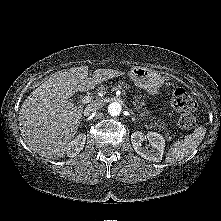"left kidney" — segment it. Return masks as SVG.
Listing matches in <instances>:
<instances>
[{
    "mask_svg": "<svg viewBox=\"0 0 221 221\" xmlns=\"http://www.w3.org/2000/svg\"><path fill=\"white\" fill-rule=\"evenodd\" d=\"M147 139L151 144V149L142 147V142ZM131 143L136 151L142 158L152 161L159 162L162 160L164 149H165V140L162 135L157 132H148L147 135H144L140 131H136L131 134Z\"/></svg>",
    "mask_w": 221,
    "mask_h": 221,
    "instance_id": "1",
    "label": "left kidney"
}]
</instances>
